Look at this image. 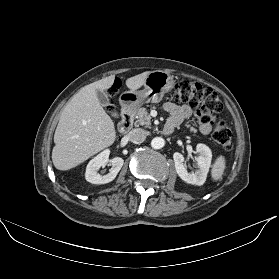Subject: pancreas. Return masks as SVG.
Listing matches in <instances>:
<instances>
[{
  "label": "pancreas",
  "mask_w": 279,
  "mask_h": 279,
  "mask_svg": "<svg viewBox=\"0 0 279 279\" xmlns=\"http://www.w3.org/2000/svg\"><path fill=\"white\" fill-rule=\"evenodd\" d=\"M136 118H137L136 124L141 125V126L150 127V125H151V116L148 113L146 108H140L138 110V112H137ZM190 131L191 132H195V129L194 128H190Z\"/></svg>",
  "instance_id": "1"
}]
</instances>
